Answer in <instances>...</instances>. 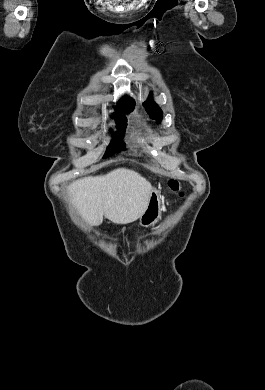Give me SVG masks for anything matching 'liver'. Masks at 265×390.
Returning a JSON list of instances; mask_svg holds the SVG:
<instances>
[{
    "instance_id": "1",
    "label": "liver",
    "mask_w": 265,
    "mask_h": 390,
    "mask_svg": "<svg viewBox=\"0 0 265 390\" xmlns=\"http://www.w3.org/2000/svg\"><path fill=\"white\" fill-rule=\"evenodd\" d=\"M152 190L149 181L126 168L74 181L67 188L73 207L95 226L103 216L115 224L136 221L145 212Z\"/></svg>"
}]
</instances>
